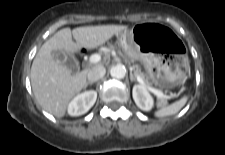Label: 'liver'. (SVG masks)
Instances as JSON below:
<instances>
[{"instance_id":"obj_1","label":"liver","mask_w":225,"mask_h":155,"mask_svg":"<svg viewBox=\"0 0 225 155\" xmlns=\"http://www.w3.org/2000/svg\"><path fill=\"white\" fill-rule=\"evenodd\" d=\"M125 30V25H100L73 30L64 28L56 32L42 45L32 63L31 86L38 104L48 113L61 118L65 116L70 100L87 83L88 70L72 74L66 66L54 59L53 51L77 53L81 49L92 50Z\"/></svg>"}]
</instances>
